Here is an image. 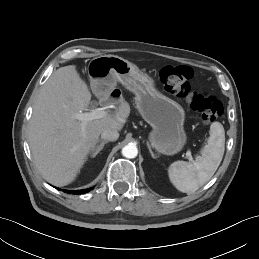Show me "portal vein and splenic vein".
I'll return each instance as SVG.
<instances>
[{
	"label": "portal vein and splenic vein",
	"instance_id": "obj_1",
	"mask_svg": "<svg viewBox=\"0 0 259 259\" xmlns=\"http://www.w3.org/2000/svg\"><path fill=\"white\" fill-rule=\"evenodd\" d=\"M108 115L106 111L101 108L91 110L90 112L77 113L75 118L82 121V130L85 129L87 122L95 119L104 118ZM186 156L192 160L191 152L187 151Z\"/></svg>",
	"mask_w": 259,
	"mask_h": 259
}]
</instances>
